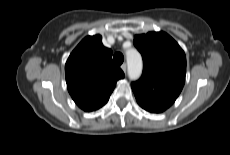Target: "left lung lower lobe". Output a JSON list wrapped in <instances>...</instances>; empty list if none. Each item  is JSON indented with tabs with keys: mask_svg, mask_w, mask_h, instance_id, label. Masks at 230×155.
I'll return each mask as SVG.
<instances>
[{
	"mask_svg": "<svg viewBox=\"0 0 230 155\" xmlns=\"http://www.w3.org/2000/svg\"><path fill=\"white\" fill-rule=\"evenodd\" d=\"M136 100L143 109L152 113H160L167 109L166 107L159 105L157 103H153L143 99H136Z\"/></svg>",
	"mask_w": 230,
	"mask_h": 155,
	"instance_id": "1",
	"label": "left lung lower lobe"
}]
</instances>
